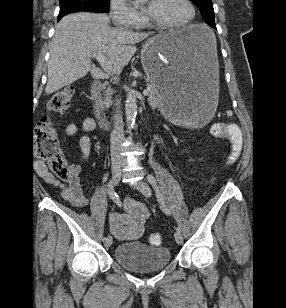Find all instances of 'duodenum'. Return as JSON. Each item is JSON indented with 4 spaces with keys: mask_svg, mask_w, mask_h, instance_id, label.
<instances>
[{
    "mask_svg": "<svg viewBox=\"0 0 286 308\" xmlns=\"http://www.w3.org/2000/svg\"><path fill=\"white\" fill-rule=\"evenodd\" d=\"M103 84L100 80H95L90 87L91 99L93 102V108L96 114L97 121L100 125L106 127L108 126V121L101 111L99 105V93L101 92Z\"/></svg>",
    "mask_w": 286,
    "mask_h": 308,
    "instance_id": "410a0bca",
    "label": "duodenum"
}]
</instances>
